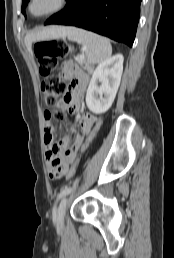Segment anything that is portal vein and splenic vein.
<instances>
[{
    "mask_svg": "<svg viewBox=\"0 0 174 258\" xmlns=\"http://www.w3.org/2000/svg\"><path fill=\"white\" fill-rule=\"evenodd\" d=\"M79 57H80L81 59H84V58H85L84 54L80 55Z\"/></svg>",
    "mask_w": 174,
    "mask_h": 258,
    "instance_id": "obj_1",
    "label": "portal vein and splenic vein"
}]
</instances>
